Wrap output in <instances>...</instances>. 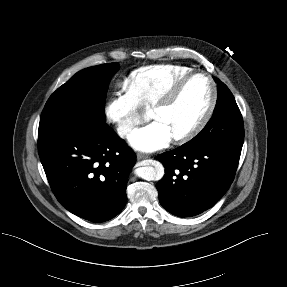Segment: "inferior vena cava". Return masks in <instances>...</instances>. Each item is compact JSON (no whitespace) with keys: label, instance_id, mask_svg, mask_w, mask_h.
Returning <instances> with one entry per match:
<instances>
[{"label":"inferior vena cava","instance_id":"inferior-vena-cava-1","mask_svg":"<svg viewBox=\"0 0 287 287\" xmlns=\"http://www.w3.org/2000/svg\"><path fill=\"white\" fill-rule=\"evenodd\" d=\"M133 126L132 125H123V126H119L117 128V132L119 134V136L123 137L126 134H128L129 132H131Z\"/></svg>","mask_w":287,"mask_h":287}]
</instances>
